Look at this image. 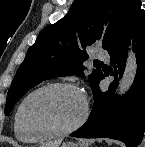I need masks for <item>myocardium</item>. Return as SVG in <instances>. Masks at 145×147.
Wrapping results in <instances>:
<instances>
[{"label": "myocardium", "mask_w": 145, "mask_h": 147, "mask_svg": "<svg viewBox=\"0 0 145 147\" xmlns=\"http://www.w3.org/2000/svg\"><path fill=\"white\" fill-rule=\"evenodd\" d=\"M54 89H70L79 94L83 102V111H82L80 118L71 126L61 129V130L50 129L44 126H31L30 123L27 121L26 115H25V109H26L28 102L37 94H40L45 91L54 90ZM88 114H89L88 101L84 93L81 91V89L72 83L58 82V83H51V84L44 85L40 88L35 89L31 93H29L23 99V101L21 102L19 106L18 120H19L21 127L28 133L36 134L43 138H55V137L66 136L76 131L77 129H79L86 122L88 118Z\"/></svg>", "instance_id": "myocardium-1"}]
</instances>
